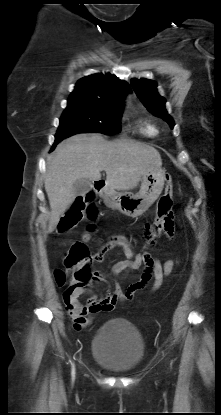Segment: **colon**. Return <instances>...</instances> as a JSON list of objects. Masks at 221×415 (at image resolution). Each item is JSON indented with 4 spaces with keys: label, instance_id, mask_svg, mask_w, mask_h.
<instances>
[{
    "label": "colon",
    "instance_id": "5ec220e1",
    "mask_svg": "<svg viewBox=\"0 0 221 415\" xmlns=\"http://www.w3.org/2000/svg\"><path fill=\"white\" fill-rule=\"evenodd\" d=\"M165 182V192L158 202L156 218L151 225L149 237H144L147 244L150 239L157 237L164 228L168 227L173 220V185L171 175L167 174L165 176ZM91 199V195L87 194L75 200L61 219L56 231L57 235H63L71 232L82 219L85 212H91ZM93 230V227L89 228V231ZM95 259V256L91 254L85 243L76 242L73 244L65 255L64 269H56L54 271V279L57 285L63 286L66 283L67 276L69 274H71L73 278L71 284L84 286L91 280L98 279V274L93 271V262ZM138 268L142 269L143 265L139 264Z\"/></svg>",
    "mask_w": 221,
    "mask_h": 415
}]
</instances>
